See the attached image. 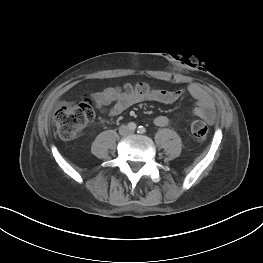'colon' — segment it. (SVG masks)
Wrapping results in <instances>:
<instances>
[{"label": "colon", "instance_id": "obj_1", "mask_svg": "<svg viewBox=\"0 0 263 263\" xmlns=\"http://www.w3.org/2000/svg\"><path fill=\"white\" fill-rule=\"evenodd\" d=\"M124 91L144 96L152 90L147 83L127 84ZM94 119V110L89 101L67 104L59 107L54 113L56 134L64 140L77 137L82 129ZM192 135L199 141H204L209 135V128L202 120H193L190 125Z\"/></svg>", "mask_w": 263, "mask_h": 263}]
</instances>
